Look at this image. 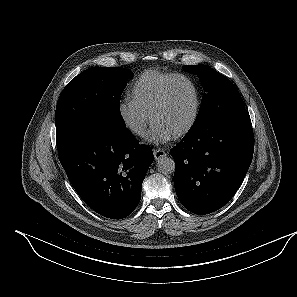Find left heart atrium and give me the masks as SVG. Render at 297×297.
Returning <instances> with one entry per match:
<instances>
[{
	"label": "left heart atrium",
	"instance_id": "left-heart-atrium-1",
	"mask_svg": "<svg viewBox=\"0 0 297 297\" xmlns=\"http://www.w3.org/2000/svg\"><path fill=\"white\" fill-rule=\"evenodd\" d=\"M173 135L158 124L152 123L147 133V140L155 143H166L172 139Z\"/></svg>",
	"mask_w": 297,
	"mask_h": 297
}]
</instances>
